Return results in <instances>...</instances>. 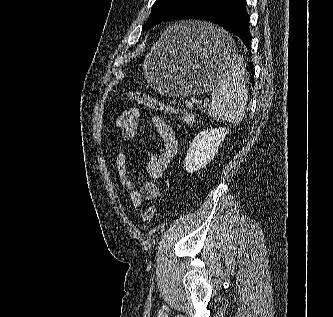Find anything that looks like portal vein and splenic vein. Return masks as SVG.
I'll return each mask as SVG.
<instances>
[{
  "label": "portal vein and splenic vein",
  "instance_id": "obj_1",
  "mask_svg": "<svg viewBox=\"0 0 333 317\" xmlns=\"http://www.w3.org/2000/svg\"><path fill=\"white\" fill-rule=\"evenodd\" d=\"M187 107L191 109V108H193V104L190 103V102H188V103H187Z\"/></svg>",
  "mask_w": 333,
  "mask_h": 317
}]
</instances>
